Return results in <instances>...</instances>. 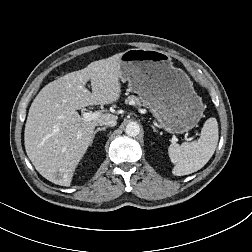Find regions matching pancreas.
<instances>
[{"mask_svg": "<svg viewBox=\"0 0 252 252\" xmlns=\"http://www.w3.org/2000/svg\"><path fill=\"white\" fill-rule=\"evenodd\" d=\"M127 101H134V102H136L138 105H141L140 99H139L138 97H136V96H133V95H132V96H129Z\"/></svg>", "mask_w": 252, "mask_h": 252, "instance_id": "cf45deb5", "label": "pancreas"}]
</instances>
